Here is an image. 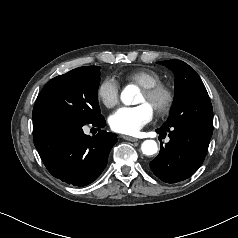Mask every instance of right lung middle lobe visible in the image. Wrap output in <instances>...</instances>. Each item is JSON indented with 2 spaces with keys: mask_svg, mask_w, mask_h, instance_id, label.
I'll return each mask as SVG.
<instances>
[{
  "mask_svg": "<svg viewBox=\"0 0 238 238\" xmlns=\"http://www.w3.org/2000/svg\"><path fill=\"white\" fill-rule=\"evenodd\" d=\"M100 71L83 66L59 75L44 86L33 109V120L66 118L83 123L101 119L97 90Z\"/></svg>",
  "mask_w": 238,
  "mask_h": 238,
  "instance_id": "right-lung-middle-lobe-1",
  "label": "right lung middle lobe"
}]
</instances>
